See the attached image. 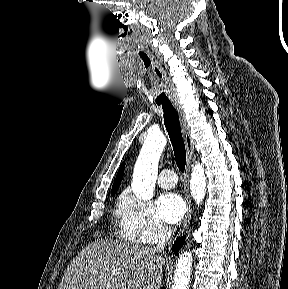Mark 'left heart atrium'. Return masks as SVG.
Returning <instances> with one entry per match:
<instances>
[{"mask_svg": "<svg viewBox=\"0 0 288 289\" xmlns=\"http://www.w3.org/2000/svg\"><path fill=\"white\" fill-rule=\"evenodd\" d=\"M186 211L183 198L176 192H166L157 201V213L159 217L171 224L179 222Z\"/></svg>", "mask_w": 288, "mask_h": 289, "instance_id": "39dd6f15", "label": "left heart atrium"}]
</instances>
